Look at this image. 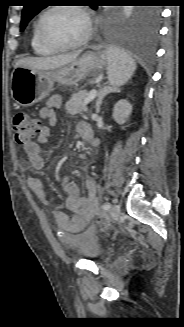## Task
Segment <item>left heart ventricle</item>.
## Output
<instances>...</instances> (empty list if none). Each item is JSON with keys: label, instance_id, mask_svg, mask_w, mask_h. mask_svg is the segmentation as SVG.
I'll list each match as a JSON object with an SVG mask.
<instances>
[{"label": "left heart ventricle", "instance_id": "1", "mask_svg": "<svg viewBox=\"0 0 184 327\" xmlns=\"http://www.w3.org/2000/svg\"><path fill=\"white\" fill-rule=\"evenodd\" d=\"M47 36L59 44L78 41L86 32V22L74 10L63 8L49 13L44 22Z\"/></svg>", "mask_w": 184, "mask_h": 327}]
</instances>
